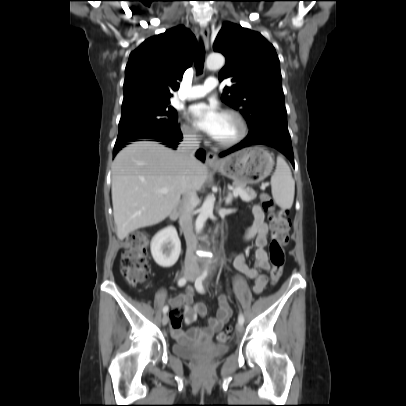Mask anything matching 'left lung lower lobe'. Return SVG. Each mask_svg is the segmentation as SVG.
<instances>
[{
    "instance_id": "obj_1",
    "label": "left lung lower lobe",
    "mask_w": 406,
    "mask_h": 406,
    "mask_svg": "<svg viewBox=\"0 0 406 406\" xmlns=\"http://www.w3.org/2000/svg\"><path fill=\"white\" fill-rule=\"evenodd\" d=\"M251 145H268L276 148L283 153L294 166V156L289 132L271 128L249 132L248 136L242 142L220 153V157Z\"/></svg>"
}]
</instances>
